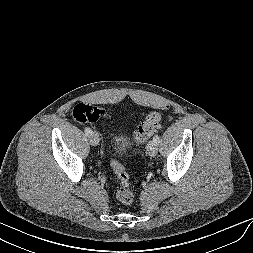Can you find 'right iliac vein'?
<instances>
[{"mask_svg": "<svg viewBox=\"0 0 253 253\" xmlns=\"http://www.w3.org/2000/svg\"><path fill=\"white\" fill-rule=\"evenodd\" d=\"M89 141H90V144L92 146H97L98 143H99V136L96 132H93L90 136H89Z\"/></svg>", "mask_w": 253, "mask_h": 253, "instance_id": "obj_1", "label": "right iliac vein"}]
</instances>
